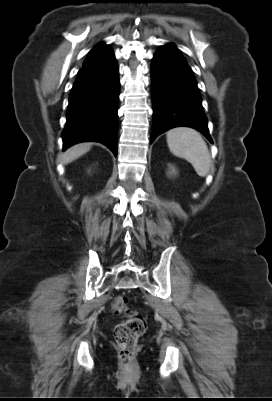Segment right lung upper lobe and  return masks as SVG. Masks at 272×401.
<instances>
[{
    "instance_id": "cb5924a9",
    "label": "right lung upper lobe",
    "mask_w": 272,
    "mask_h": 401,
    "mask_svg": "<svg viewBox=\"0 0 272 401\" xmlns=\"http://www.w3.org/2000/svg\"><path fill=\"white\" fill-rule=\"evenodd\" d=\"M103 46H105L103 43H100V44H98L94 49H92V51L91 52H93V51H95V50H97V49H99V48H101V47H103Z\"/></svg>"
}]
</instances>
